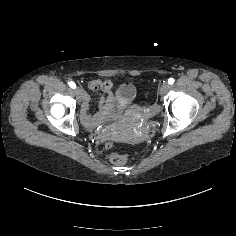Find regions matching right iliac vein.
I'll return each instance as SVG.
<instances>
[{
  "label": "right iliac vein",
  "instance_id": "1",
  "mask_svg": "<svg viewBox=\"0 0 236 236\" xmlns=\"http://www.w3.org/2000/svg\"><path fill=\"white\" fill-rule=\"evenodd\" d=\"M75 94L79 102H81L84 99L85 93L80 88L75 89Z\"/></svg>",
  "mask_w": 236,
  "mask_h": 236
}]
</instances>
